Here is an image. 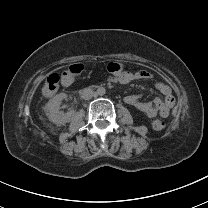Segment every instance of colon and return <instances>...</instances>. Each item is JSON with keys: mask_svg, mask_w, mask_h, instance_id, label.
Wrapping results in <instances>:
<instances>
[{"mask_svg": "<svg viewBox=\"0 0 208 208\" xmlns=\"http://www.w3.org/2000/svg\"><path fill=\"white\" fill-rule=\"evenodd\" d=\"M105 71L110 74L111 76L124 78L126 74V65L122 61H112L105 65ZM84 72V67L80 63H75L73 65H70L66 68H64L61 73H56L51 75L45 83L44 90L45 91H54L57 86L61 83H68L71 82L75 76H80ZM152 127L157 132L164 131L165 125L164 122L157 118L153 121Z\"/></svg>", "mask_w": 208, "mask_h": 208, "instance_id": "colon-1", "label": "colon"}]
</instances>
